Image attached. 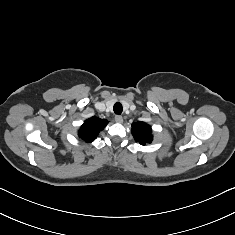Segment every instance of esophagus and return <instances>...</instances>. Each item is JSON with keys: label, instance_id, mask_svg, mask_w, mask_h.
Returning <instances> with one entry per match:
<instances>
[{"label": "esophagus", "instance_id": "obj_1", "mask_svg": "<svg viewBox=\"0 0 235 235\" xmlns=\"http://www.w3.org/2000/svg\"><path fill=\"white\" fill-rule=\"evenodd\" d=\"M115 122L116 123H122L123 122V117L121 115H116L115 116Z\"/></svg>", "mask_w": 235, "mask_h": 235}]
</instances>
